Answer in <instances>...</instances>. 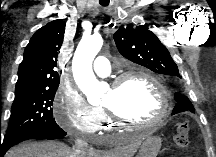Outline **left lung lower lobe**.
Segmentation results:
<instances>
[{
	"mask_svg": "<svg viewBox=\"0 0 216 157\" xmlns=\"http://www.w3.org/2000/svg\"><path fill=\"white\" fill-rule=\"evenodd\" d=\"M184 111H189L188 106H186V104L180 103L175 105L172 114H177Z\"/></svg>",
	"mask_w": 216,
	"mask_h": 157,
	"instance_id": "0a47b994",
	"label": "left lung lower lobe"
}]
</instances>
